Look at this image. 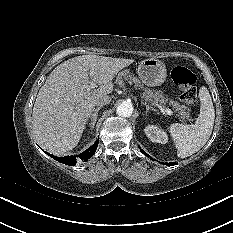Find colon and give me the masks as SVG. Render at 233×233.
<instances>
[{
  "instance_id": "colon-1",
  "label": "colon",
  "mask_w": 233,
  "mask_h": 233,
  "mask_svg": "<svg viewBox=\"0 0 233 233\" xmlns=\"http://www.w3.org/2000/svg\"><path fill=\"white\" fill-rule=\"evenodd\" d=\"M171 77L179 88V99L188 105L196 99V76L189 69L178 66L172 70Z\"/></svg>"
}]
</instances>
